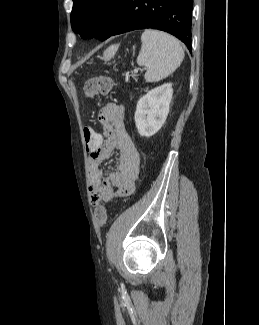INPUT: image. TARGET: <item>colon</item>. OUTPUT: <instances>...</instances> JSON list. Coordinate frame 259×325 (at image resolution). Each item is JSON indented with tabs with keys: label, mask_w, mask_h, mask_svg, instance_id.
I'll list each match as a JSON object with an SVG mask.
<instances>
[{
	"label": "colon",
	"mask_w": 259,
	"mask_h": 325,
	"mask_svg": "<svg viewBox=\"0 0 259 325\" xmlns=\"http://www.w3.org/2000/svg\"><path fill=\"white\" fill-rule=\"evenodd\" d=\"M115 90L114 81L108 76H96L88 79L84 84V93L89 98L105 96ZM85 144L87 149H100V136L98 130L85 128ZM107 220L106 208L102 205L95 210V221L99 226H103Z\"/></svg>",
	"instance_id": "obj_1"
}]
</instances>
